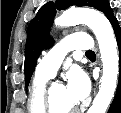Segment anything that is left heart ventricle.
<instances>
[{"label":"left heart ventricle","mask_w":121,"mask_h":113,"mask_svg":"<svg viewBox=\"0 0 121 113\" xmlns=\"http://www.w3.org/2000/svg\"><path fill=\"white\" fill-rule=\"evenodd\" d=\"M52 102L54 111L57 113H66L75 108V103L70 98L66 87L56 84L52 87Z\"/></svg>","instance_id":"left-heart-ventricle-1"}]
</instances>
